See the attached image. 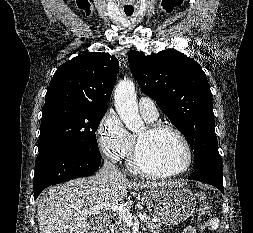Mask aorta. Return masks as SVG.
Returning <instances> with one entry per match:
<instances>
[{
	"label": "aorta",
	"mask_w": 253,
	"mask_h": 233,
	"mask_svg": "<svg viewBox=\"0 0 253 233\" xmlns=\"http://www.w3.org/2000/svg\"><path fill=\"white\" fill-rule=\"evenodd\" d=\"M114 104L121 120L131 132H139L144 123L138 112L137 97L133 81L121 80L114 91Z\"/></svg>",
	"instance_id": "aorta-1"
}]
</instances>
